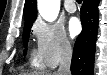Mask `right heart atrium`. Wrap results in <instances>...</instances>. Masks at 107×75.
I'll list each match as a JSON object with an SVG mask.
<instances>
[{"label": "right heart atrium", "mask_w": 107, "mask_h": 75, "mask_svg": "<svg viewBox=\"0 0 107 75\" xmlns=\"http://www.w3.org/2000/svg\"><path fill=\"white\" fill-rule=\"evenodd\" d=\"M32 33L43 65L52 68L71 56L72 44L61 25L38 19L32 25Z\"/></svg>", "instance_id": "obj_1"}]
</instances>
